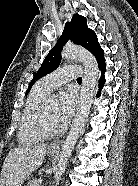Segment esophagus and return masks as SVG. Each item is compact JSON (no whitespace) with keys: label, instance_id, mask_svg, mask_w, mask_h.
<instances>
[{"label":"esophagus","instance_id":"1","mask_svg":"<svg viewBox=\"0 0 138 186\" xmlns=\"http://www.w3.org/2000/svg\"><path fill=\"white\" fill-rule=\"evenodd\" d=\"M60 145V140L54 141L51 145L50 148L52 149H58Z\"/></svg>","mask_w":138,"mask_h":186}]
</instances>
